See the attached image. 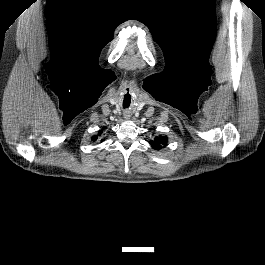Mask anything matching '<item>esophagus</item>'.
<instances>
[{
    "label": "esophagus",
    "instance_id": "34e87169",
    "mask_svg": "<svg viewBox=\"0 0 265 265\" xmlns=\"http://www.w3.org/2000/svg\"><path fill=\"white\" fill-rule=\"evenodd\" d=\"M123 116L125 119H129L130 118V113L129 112H124Z\"/></svg>",
    "mask_w": 265,
    "mask_h": 265
}]
</instances>
